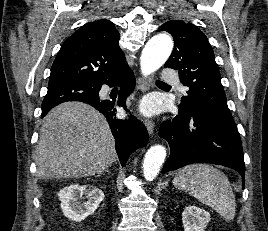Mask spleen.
Listing matches in <instances>:
<instances>
[{"label":"spleen","mask_w":268,"mask_h":231,"mask_svg":"<svg viewBox=\"0 0 268 231\" xmlns=\"http://www.w3.org/2000/svg\"><path fill=\"white\" fill-rule=\"evenodd\" d=\"M173 184L216 210L225 220L235 217L236 202L230 182L223 172L213 166H185L178 171Z\"/></svg>","instance_id":"obj_1"}]
</instances>
